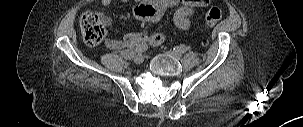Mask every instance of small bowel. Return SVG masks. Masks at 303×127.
Instances as JSON below:
<instances>
[{"mask_svg":"<svg viewBox=\"0 0 303 127\" xmlns=\"http://www.w3.org/2000/svg\"><path fill=\"white\" fill-rule=\"evenodd\" d=\"M128 2L129 0H120ZM113 0H100L103 7L109 6ZM133 14L143 23L141 32L127 34L122 40L110 39L106 41V47L112 50H121L125 47H134L140 44L158 46L164 41L161 32H152L154 23L159 21L169 8L177 7L173 21L179 29H187L190 26V16L194 8L205 6L209 0H133ZM146 8H149L152 15H144ZM102 20L106 25L111 23V19L103 15Z\"/></svg>","mask_w":303,"mask_h":127,"instance_id":"obj_1","label":"small bowel"}]
</instances>
